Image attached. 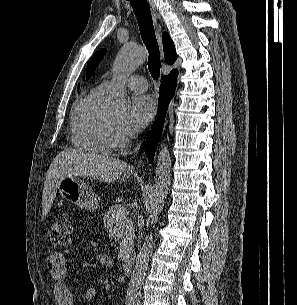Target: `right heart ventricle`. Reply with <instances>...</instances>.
Here are the masks:
<instances>
[{"label":"right heart ventricle","mask_w":297,"mask_h":305,"mask_svg":"<svg viewBox=\"0 0 297 305\" xmlns=\"http://www.w3.org/2000/svg\"><path fill=\"white\" fill-rule=\"evenodd\" d=\"M100 86L87 94L74 108L70 137L73 146L92 154H107L110 146L106 140L107 115L103 109V94Z\"/></svg>","instance_id":"right-heart-ventricle-1"}]
</instances>
